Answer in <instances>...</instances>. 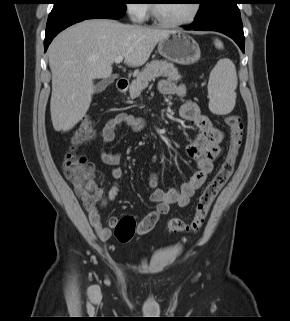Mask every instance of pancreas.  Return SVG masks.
Returning a JSON list of instances; mask_svg holds the SVG:
<instances>
[{"instance_id": "cf45deb5", "label": "pancreas", "mask_w": 290, "mask_h": 321, "mask_svg": "<svg viewBox=\"0 0 290 321\" xmlns=\"http://www.w3.org/2000/svg\"><path fill=\"white\" fill-rule=\"evenodd\" d=\"M161 76L172 81L181 79V75L172 63L163 60L151 61L132 81L129 90L130 97L132 99L139 97L141 92L148 87L150 81Z\"/></svg>"}]
</instances>
